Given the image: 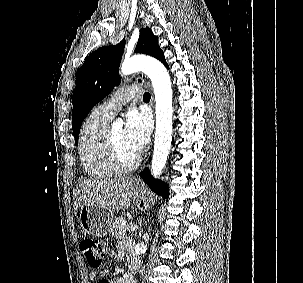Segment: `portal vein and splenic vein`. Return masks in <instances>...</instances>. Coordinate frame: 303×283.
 <instances>
[{"label": "portal vein and splenic vein", "mask_w": 303, "mask_h": 283, "mask_svg": "<svg viewBox=\"0 0 303 283\" xmlns=\"http://www.w3.org/2000/svg\"><path fill=\"white\" fill-rule=\"evenodd\" d=\"M138 229V226L137 225H130L129 227H128V231L130 232H133V231H135V230H137Z\"/></svg>", "instance_id": "18ae733b"}]
</instances>
